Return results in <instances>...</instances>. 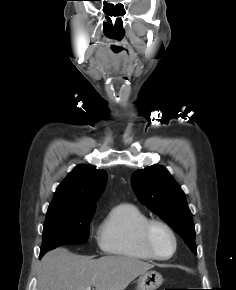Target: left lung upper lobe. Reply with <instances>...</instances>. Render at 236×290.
Listing matches in <instances>:
<instances>
[{"mask_svg":"<svg viewBox=\"0 0 236 290\" xmlns=\"http://www.w3.org/2000/svg\"><path fill=\"white\" fill-rule=\"evenodd\" d=\"M139 200L163 219L196 254L195 229L185 194L163 166H150L132 175Z\"/></svg>","mask_w":236,"mask_h":290,"instance_id":"left-lung-upper-lobe-1","label":"left lung upper lobe"}]
</instances>
